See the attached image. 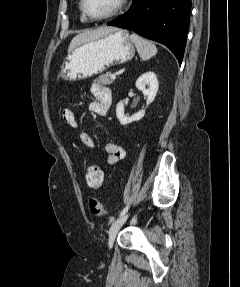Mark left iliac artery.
Masks as SVG:
<instances>
[{
	"mask_svg": "<svg viewBox=\"0 0 240 287\" xmlns=\"http://www.w3.org/2000/svg\"><path fill=\"white\" fill-rule=\"evenodd\" d=\"M128 209H129V204L120 212V217L122 216V215H124L127 211H128Z\"/></svg>",
	"mask_w": 240,
	"mask_h": 287,
	"instance_id": "44dca946",
	"label": "left iliac artery"
}]
</instances>
